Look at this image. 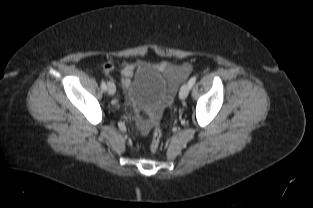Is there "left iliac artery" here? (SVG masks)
Here are the masks:
<instances>
[{"instance_id":"1","label":"left iliac artery","mask_w":313,"mask_h":208,"mask_svg":"<svg viewBox=\"0 0 313 208\" xmlns=\"http://www.w3.org/2000/svg\"><path fill=\"white\" fill-rule=\"evenodd\" d=\"M195 82H196V76H193L188 82L190 88L195 84Z\"/></svg>"}]
</instances>
